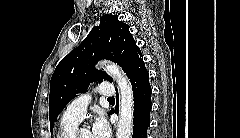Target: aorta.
<instances>
[{
    "instance_id": "aorta-1",
    "label": "aorta",
    "mask_w": 240,
    "mask_h": 138,
    "mask_svg": "<svg viewBox=\"0 0 240 138\" xmlns=\"http://www.w3.org/2000/svg\"><path fill=\"white\" fill-rule=\"evenodd\" d=\"M103 69L116 80L119 90V121L117 138H131L133 133L134 100L130 81L122 69L114 63H102Z\"/></svg>"
}]
</instances>
